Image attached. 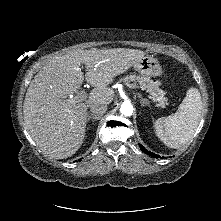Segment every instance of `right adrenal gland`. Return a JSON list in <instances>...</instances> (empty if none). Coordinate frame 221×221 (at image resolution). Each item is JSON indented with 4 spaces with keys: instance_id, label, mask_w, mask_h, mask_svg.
<instances>
[{
    "instance_id": "2a0ac1e0",
    "label": "right adrenal gland",
    "mask_w": 221,
    "mask_h": 221,
    "mask_svg": "<svg viewBox=\"0 0 221 221\" xmlns=\"http://www.w3.org/2000/svg\"><path fill=\"white\" fill-rule=\"evenodd\" d=\"M100 119V116H95V115H88L87 117V122L92 120V122L98 121Z\"/></svg>"
}]
</instances>
